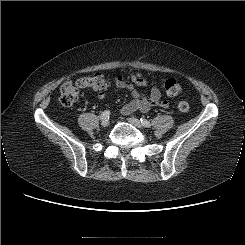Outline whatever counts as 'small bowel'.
Masks as SVG:
<instances>
[{"instance_id": "c3829d8e", "label": "small bowel", "mask_w": 245, "mask_h": 245, "mask_svg": "<svg viewBox=\"0 0 245 245\" xmlns=\"http://www.w3.org/2000/svg\"><path fill=\"white\" fill-rule=\"evenodd\" d=\"M115 82L117 87L127 90L132 96V100L126 103L121 109L123 115H130L136 111L146 113L153 106L164 109L169 107V102L162 98L159 89L153 88L149 93L140 92L136 89L135 86H147L149 83L148 79L141 73L130 72L128 79L123 75H118ZM98 97L104 99L106 97V91H99Z\"/></svg>"}]
</instances>
